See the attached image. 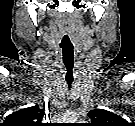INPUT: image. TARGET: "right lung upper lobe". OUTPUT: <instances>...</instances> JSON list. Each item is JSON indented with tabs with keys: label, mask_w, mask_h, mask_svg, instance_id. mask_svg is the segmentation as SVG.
I'll use <instances>...</instances> for the list:
<instances>
[{
	"label": "right lung upper lobe",
	"mask_w": 135,
	"mask_h": 126,
	"mask_svg": "<svg viewBox=\"0 0 135 126\" xmlns=\"http://www.w3.org/2000/svg\"><path fill=\"white\" fill-rule=\"evenodd\" d=\"M43 116L44 111L35 105L8 115L5 124L7 126H37L41 124Z\"/></svg>",
	"instance_id": "right-lung-upper-lobe-1"
}]
</instances>
